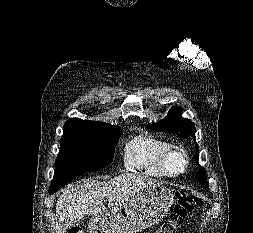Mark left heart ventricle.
<instances>
[{
	"label": "left heart ventricle",
	"instance_id": "b2bd125f",
	"mask_svg": "<svg viewBox=\"0 0 253 233\" xmlns=\"http://www.w3.org/2000/svg\"><path fill=\"white\" fill-rule=\"evenodd\" d=\"M174 167L177 168L178 167V162L174 163Z\"/></svg>",
	"mask_w": 253,
	"mask_h": 233
}]
</instances>
